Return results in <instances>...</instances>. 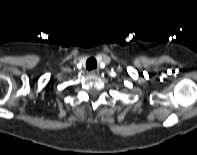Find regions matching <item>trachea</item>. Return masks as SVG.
<instances>
[{
    "instance_id": "1",
    "label": "trachea",
    "mask_w": 197,
    "mask_h": 155,
    "mask_svg": "<svg viewBox=\"0 0 197 155\" xmlns=\"http://www.w3.org/2000/svg\"><path fill=\"white\" fill-rule=\"evenodd\" d=\"M97 67V62L94 58H89L86 62V68L87 70H92Z\"/></svg>"
}]
</instances>
